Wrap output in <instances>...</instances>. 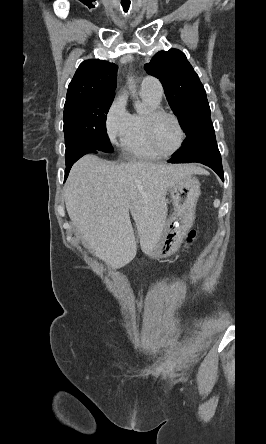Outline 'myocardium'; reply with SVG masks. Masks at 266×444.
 Wrapping results in <instances>:
<instances>
[{
  "label": "myocardium",
  "mask_w": 266,
  "mask_h": 444,
  "mask_svg": "<svg viewBox=\"0 0 266 444\" xmlns=\"http://www.w3.org/2000/svg\"><path fill=\"white\" fill-rule=\"evenodd\" d=\"M163 116H167V117L172 118L175 121L178 131H179L178 145L174 150H172L170 152L162 151L158 147V145L155 141V137H154L155 123L159 118H161ZM144 127H145V133H146V137H147L150 147L161 156H170V155L176 154L177 152H179L182 149V147L185 143L186 134H185V131H184V128L182 126L180 119L178 118L177 115H175L173 112H170L168 110H164V109H160V108L150 110L145 116Z\"/></svg>",
  "instance_id": "obj_1"
}]
</instances>
